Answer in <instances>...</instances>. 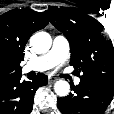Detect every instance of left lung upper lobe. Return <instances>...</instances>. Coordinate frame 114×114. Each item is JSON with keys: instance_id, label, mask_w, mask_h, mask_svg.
<instances>
[{"instance_id": "obj_1", "label": "left lung upper lobe", "mask_w": 114, "mask_h": 114, "mask_svg": "<svg viewBox=\"0 0 114 114\" xmlns=\"http://www.w3.org/2000/svg\"><path fill=\"white\" fill-rule=\"evenodd\" d=\"M45 13L70 42V65L75 68V74L82 80L114 86V48L103 36L102 24L68 7L49 9Z\"/></svg>"}]
</instances>
